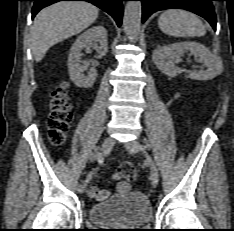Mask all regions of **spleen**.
I'll return each instance as SVG.
<instances>
[{"mask_svg": "<svg viewBox=\"0 0 234 231\" xmlns=\"http://www.w3.org/2000/svg\"><path fill=\"white\" fill-rule=\"evenodd\" d=\"M158 26L163 33L173 37H201L206 33L205 26L195 14L181 9L164 11Z\"/></svg>", "mask_w": 234, "mask_h": 231, "instance_id": "3e777b00", "label": "spleen"}]
</instances>
